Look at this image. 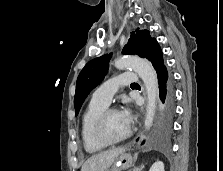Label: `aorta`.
Returning a JSON list of instances; mask_svg holds the SVG:
<instances>
[{
    "label": "aorta",
    "instance_id": "obj_1",
    "mask_svg": "<svg viewBox=\"0 0 223 171\" xmlns=\"http://www.w3.org/2000/svg\"><path fill=\"white\" fill-rule=\"evenodd\" d=\"M114 66L117 69H133L143 80L147 93L146 117L144 126L149 130L153 124L156 113V101L159 92L156 71L151 63L136 56H126L115 60Z\"/></svg>",
    "mask_w": 223,
    "mask_h": 171
}]
</instances>
